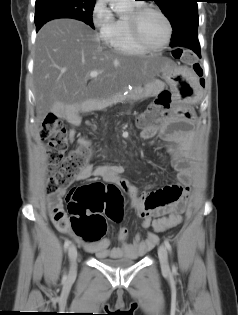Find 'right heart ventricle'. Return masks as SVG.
I'll return each mask as SVG.
<instances>
[{"instance_id":"e07e8e85","label":"right heart ventricle","mask_w":238,"mask_h":315,"mask_svg":"<svg viewBox=\"0 0 238 315\" xmlns=\"http://www.w3.org/2000/svg\"><path fill=\"white\" fill-rule=\"evenodd\" d=\"M133 4V7H139ZM104 43L113 51L125 55H140L147 51L138 46L130 33L129 13L119 14L113 20L110 28L103 37Z\"/></svg>"}]
</instances>
